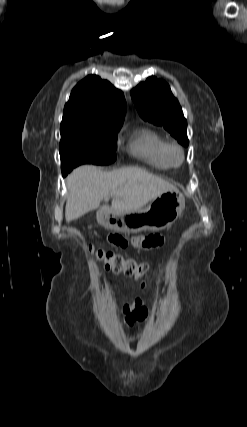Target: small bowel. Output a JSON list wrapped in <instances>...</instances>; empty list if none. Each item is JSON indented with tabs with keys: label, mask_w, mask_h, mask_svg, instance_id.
Masks as SVG:
<instances>
[{
	"label": "small bowel",
	"mask_w": 247,
	"mask_h": 427,
	"mask_svg": "<svg viewBox=\"0 0 247 427\" xmlns=\"http://www.w3.org/2000/svg\"><path fill=\"white\" fill-rule=\"evenodd\" d=\"M108 243L111 246L117 247L119 250L127 248L128 240L117 235L116 232H109L107 235ZM163 238L160 235L136 236L132 239V244L139 248H155L163 244ZM124 314V322L128 326H132L135 322H142L148 316V310L143 305L141 299H136L131 304H125L122 308Z\"/></svg>",
	"instance_id": "obj_1"
}]
</instances>
